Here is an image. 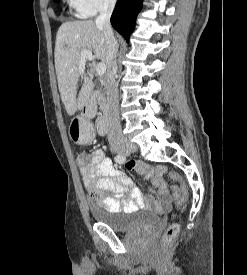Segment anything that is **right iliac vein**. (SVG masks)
<instances>
[{"label": "right iliac vein", "instance_id": "right-iliac-vein-1", "mask_svg": "<svg viewBox=\"0 0 247 275\" xmlns=\"http://www.w3.org/2000/svg\"><path fill=\"white\" fill-rule=\"evenodd\" d=\"M136 149V145L130 141H124L121 145L114 148L115 152L118 154H125L127 152L135 151Z\"/></svg>", "mask_w": 247, "mask_h": 275}]
</instances>
